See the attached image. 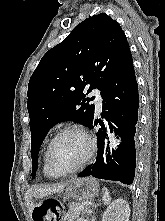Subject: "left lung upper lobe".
Wrapping results in <instances>:
<instances>
[{
    "mask_svg": "<svg viewBox=\"0 0 165 221\" xmlns=\"http://www.w3.org/2000/svg\"><path fill=\"white\" fill-rule=\"evenodd\" d=\"M130 55L120 25L101 13L82 21L42 57L28 86L32 177L48 131L67 120L88 126L94 97L86 98L83 91H102Z\"/></svg>",
    "mask_w": 165,
    "mask_h": 221,
    "instance_id": "5c2ea615",
    "label": "left lung upper lobe"
}]
</instances>
